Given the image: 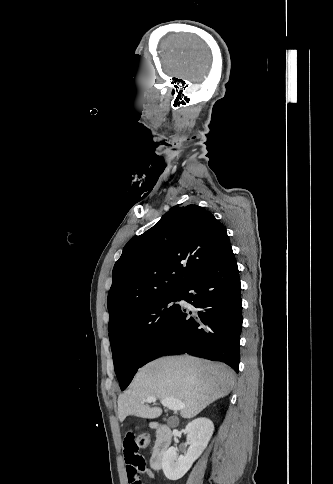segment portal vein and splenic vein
I'll return each instance as SVG.
<instances>
[{"mask_svg": "<svg viewBox=\"0 0 333 484\" xmlns=\"http://www.w3.org/2000/svg\"><path fill=\"white\" fill-rule=\"evenodd\" d=\"M157 398L155 396H150L141 401L142 404L144 403H152L155 402ZM160 402L163 406L168 407L170 410L179 411L186 408V405L181 402L180 399L176 398H164L160 399Z\"/></svg>", "mask_w": 333, "mask_h": 484, "instance_id": "obj_1", "label": "portal vein and splenic vein"}]
</instances>
